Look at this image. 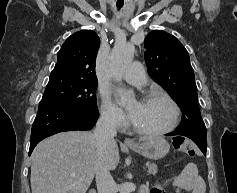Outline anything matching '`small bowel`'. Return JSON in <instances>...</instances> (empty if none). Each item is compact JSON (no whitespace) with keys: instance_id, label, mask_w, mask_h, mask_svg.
Returning <instances> with one entry per match:
<instances>
[{"instance_id":"1","label":"small bowel","mask_w":237,"mask_h":193,"mask_svg":"<svg viewBox=\"0 0 237 193\" xmlns=\"http://www.w3.org/2000/svg\"><path fill=\"white\" fill-rule=\"evenodd\" d=\"M175 193H204L205 186L203 179L197 172L196 165L194 163H188L183 168L180 175L174 180ZM141 193H162L156 189L149 192L148 188L144 186Z\"/></svg>"}]
</instances>
